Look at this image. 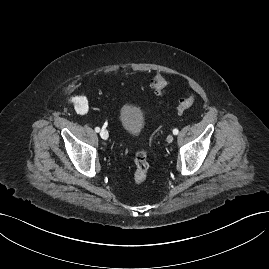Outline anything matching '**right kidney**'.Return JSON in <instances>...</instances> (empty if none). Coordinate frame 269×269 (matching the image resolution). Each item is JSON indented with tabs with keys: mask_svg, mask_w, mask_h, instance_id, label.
Segmentation results:
<instances>
[{
	"mask_svg": "<svg viewBox=\"0 0 269 269\" xmlns=\"http://www.w3.org/2000/svg\"><path fill=\"white\" fill-rule=\"evenodd\" d=\"M75 109L80 113H86L88 110V101L85 96H75L72 98Z\"/></svg>",
	"mask_w": 269,
	"mask_h": 269,
	"instance_id": "1",
	"label": "right kidney"
}]
</instances>
